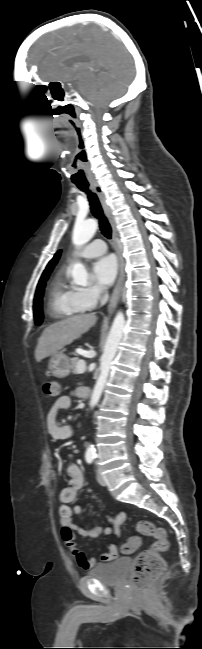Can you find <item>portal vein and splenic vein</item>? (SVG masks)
<instances>
[{
	"label": "portal vein and splenic vein",
	"mask_w": 202,
	"mask_h": 649,
	"mask_svg": "<svg viewBox=\"0 0 202 649\" xmlns=\"http://www.w3.org/2000/svg\"><path fill=\"white\" fill-rule=\"evenodd\" d=\"M77 369L80 374H83L86 371V365L83 360H80L77 364Z\"/></svg>",
	"instance_id": "18ae733b"
}]
</instances>
